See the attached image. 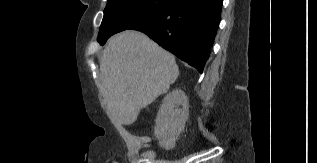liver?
<instances>
[{
  "label": "liver",
  "mask_w": 317,
  "mask_h": 163,
  "mask_svg": "<svg viewBox=\"0 0 317 163\" xmlns=\"http://www.w3.org/2000/svg\"><path fill=\"white\" fill-rule=\"evenodd\" d=\"M178 75L174 56L145 34L126 30L113 36L100 57L98 86L111 122L133 124Z\"/></svg>",
  "instance_id": "1"
}]
</instances>
